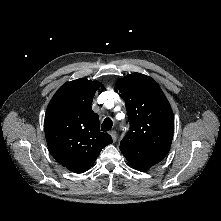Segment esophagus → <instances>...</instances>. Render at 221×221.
I'll return each mask as SVG.
<instances>
[{"instance_id": "obj_1", "label": "esophagus", "mask_w": 221, "mask_h": 221, "mask_svg": "<svg viewBox=\"0 0 221 221\" xmlns=\"http://www.w3.org/2000/svg\"><path fill=\"white\" fill-rule=\"evenodd\" d=\"M110 135L115 142L117 140V132L115 130L110 131Z\"/></svg>"}]
</instances>
